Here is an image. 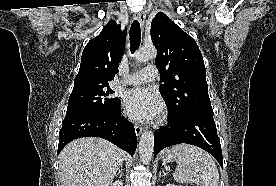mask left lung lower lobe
<instances>
[{
  "mask_svg": "<svg viewBox=\"0 0 276 186\" xmlns=\"http://www.w3.org/2000/svg\"><path fill=\"white\" fill-rule=\"evenodd\" d=\"M180 143L204 149L223 168L220 139L213 120V110L198 111L180 117L171 114L167 125L154 135V156L162 149Z\"/></svg>",
  "mask_w": 276,
  "mask_h": 186,
  "instance_id": "obj_1",
  "label": "left lung lower lobe"
}]
</instances>
